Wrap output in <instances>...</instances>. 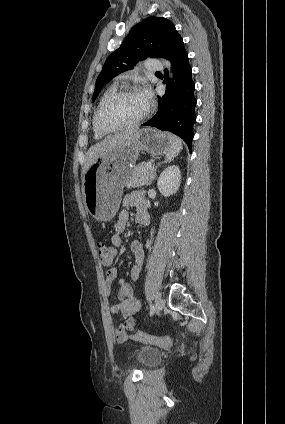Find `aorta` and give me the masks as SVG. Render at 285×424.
Returning <instances> with one entry per match:
<instances>
[{"label": "aorta", "mask_w": 285, "mask_h": 424, "mask_svg": "<svg viewBox=\"0 0 285 424\" xmlns=\"http://www.w3.org/2000/svg\"><path fill=\"white\" fill-rule=\"evenodd\" d=\"M164 64L167 67V69L169 70V76L171 77V63L168 60H164Z\"/></svg>", "instance_id": "aorta-1"}]
</instances>
